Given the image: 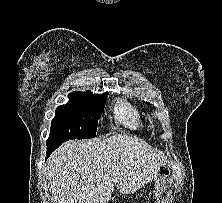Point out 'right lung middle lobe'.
<instances>
[{
  "label": "right lung middle lobe",
  "mask_w": 222,
  "mask_h": 203,
  "mask_svg": "<svg viewBox=\"0 0 222 203\" xmlns=\"http://www.w3.org/2000/svg\"><path fill=\"white\" fill-rule=\"evenodd\" d=\"M65 105L57 107L51 122L47 144H59L70 139L96 136L98 120L104 110L108 93L73 92Z\"/></svg>",
  "instance_id": "right-lung-middle-lobe-1"
}]
</instances>
